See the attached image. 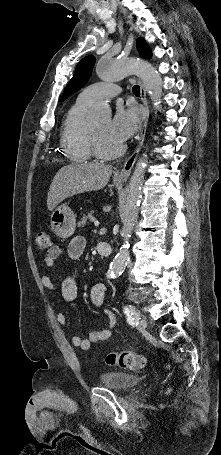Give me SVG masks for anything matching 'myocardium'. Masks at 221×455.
I'll use <instances>...</instances> for the list:
<instances>
[{
  "instance_id": "1",
  "label": "myocardium",
  "mask_w": 221,
  "mask_h": 455,
  "mask_svg": "<svg viewBox=\"0 0 221 455\" xmlns=\"http://www.w3.org/2000/svg\"><path fill=\"white\" fill-rule=\"evenodd\" d=\"M89 138H90V147L94 156L101 158V159H111L121 155L126 148V145L121 142L115 148L111 150H105L102 148L97 131L90 125L89 130Z\"/></svg>"
}]
</instances>
